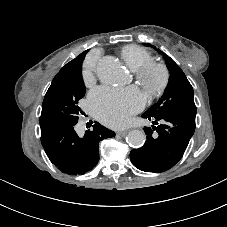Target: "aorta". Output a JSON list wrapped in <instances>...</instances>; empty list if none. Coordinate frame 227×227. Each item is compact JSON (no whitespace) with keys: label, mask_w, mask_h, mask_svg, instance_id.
<instances>
[{"label":"aorta","mask_w":227,"mask_h":227,"mask_svg":"<svg viewBox=\"0 0 227 227\" xmlns=\"http://www.w3.org/2000/svg\"><path fill=\"white\" fill-rule=\"evenodd\" d=\"M96 73L102 83L113 85L120 81L123 69L117 58L105 56L98 62ZM126 141L130 146L139 148L144 145L146 136L140 130H131L126 136Z\"/></svg>","instance_id":"obj_1"}]
</instances>
